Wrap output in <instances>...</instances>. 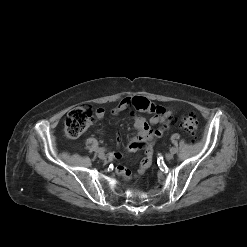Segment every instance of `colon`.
Listing matches in <instances>:
<instances>
[{
	"label": "colon",
	"mask_w": 247,
	"mask_h": 247,
	"mask_svg": "<svg viewBox=\"0 0 247 247\" xmlns=\"http://www.w3.org/2000/svg\"><path fill=\"white\" fill-rule=\"evenodd\" d=\"M93 117V109L90 107H77L69 112L64 123V134L67 138L79 137L90 125ZM180 127L192 138H195L198 130L197 116L192 113H184L180 117Z\"/></svg>",
	"instance_id": "obj_1"
}]
</instances>
